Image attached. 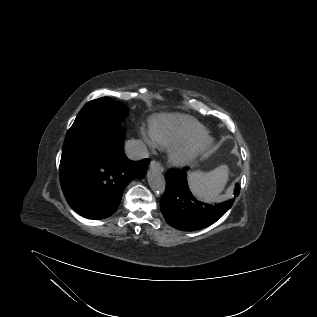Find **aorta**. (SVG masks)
<instances>
[{
  "instance_id": "aorta-1",
  "label": "aorta",
  "mask_w": 317,
  "mask_h": 317,
  "mask_svg": "<svg viewBox=\"0 0 317 317\" xmlns=\"http://www.w3.org/2000/svg\"><path fill=\"white\" fill-rule=\"evenodd\" d=\"M150 188L156 193H164L166 187L165 177L159 167L153 166L147 173Z\"/></svg>"
}]
</instances>
